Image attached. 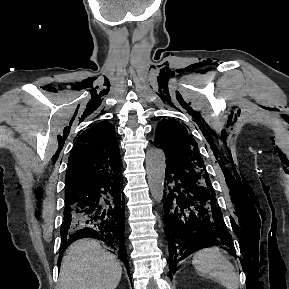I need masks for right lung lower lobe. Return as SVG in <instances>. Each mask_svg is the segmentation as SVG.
<instances>
[{
    "label": "right lung lower lobe",
    "instance_id": "1",
    "mask_svg": "<svg viewBox=\"0 0 289 289\" xmlns=\"http://www.w3.org/2000/svg\"><path fill=\"white\" fill-rule=\"evenodd\" d=\"M122 187L121 173L115 178H103L81 193L66 195L64 221L60 229L59 265L65 248L72 241L94 238L103 241L113 253L118 254L130 276L124 243Z\"/></svg>",
    "mask_w": 289,
    "mask_h": 289
}]
</instances>
